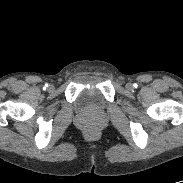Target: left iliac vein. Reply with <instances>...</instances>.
<instances>
[{
    "label": "left iliac vein",
    "mask_w": 183,
    "mask_h": 183,
    "mask_svg": "<svg viewBox=\"0 0 183 183\" xmlns=\"http://www.w3.org/2000/svg\"><path fill=\"white\" fill-rule=\"evenodd\" d=\"M126 88H127L128 90H131V89L133 88V85H132L131 83H127V84H126Z\"/></svg>",
    "instance_id": "obj_1"
}]
</instances>
